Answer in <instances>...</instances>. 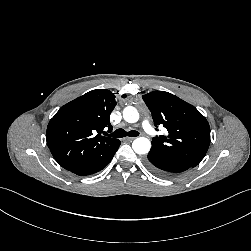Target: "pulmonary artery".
<instances>
[{
	"label": "pulmonary artery",
	"instance_id": "1",
	"mask_svg": "<svg viewBox=\"0 0 251 251\" xmlns=\"http://www.w3.org/2000/svg\"><path fill=\"white\" fill-rule=\"evenodd\" d=\"M141 125L147 134H149L151 136L155 135L154 129L152 128V126L150 125V123L147 120H144Z\"/></svg>",
	"mask_w": 251,
	"mask_h": 251
}]
</instances>
